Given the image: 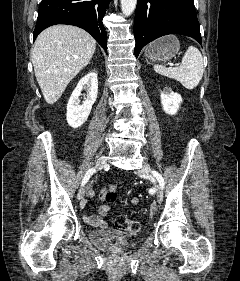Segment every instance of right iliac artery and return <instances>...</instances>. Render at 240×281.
I'll list each match as a JSON object with an SVG mask.
<instances>
[{
	"label": "right iliac artery",
	"mask_w": 240,
	"mask_h": 281,
	"mask_svg": "<svg viewBox=\"0 0 240 281\" xmlns=\"http://www.w3.org/2000/svg\"><path fill=\"white\" fill-rule=\"evenodd\" d=\"M94 172H95V168H91L87 171V173L85 174V176L82 180V185H85L87 183V181L93 175Z\"/></svg>",
	"instance_id": "obj_1"
}]
</instances>
